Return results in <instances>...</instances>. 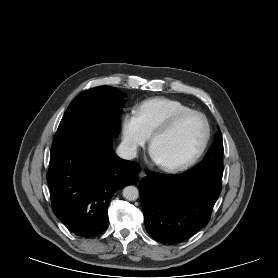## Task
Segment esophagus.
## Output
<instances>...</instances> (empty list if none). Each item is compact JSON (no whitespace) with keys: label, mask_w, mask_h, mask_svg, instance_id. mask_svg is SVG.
I'll return each mask as SVG.
<instances>
[{"label":"esophagus","mask_w":278,"mask_h":278,"mask_svg":"<svg viewBox=\"0 0 278 278\" xmlns=\"http://www.w3.org/2000/svg\"><path fill=\"white\" fill-rule=\"evenodd\" d=\"M146 177V172L145 171H140V173H139V179H143V178H145Z\"/></svg>","instance_id":"obj_1"}]
</instances>
